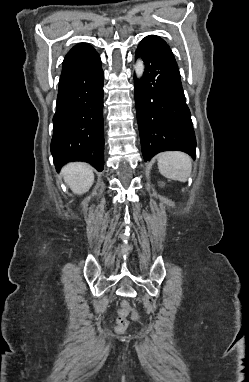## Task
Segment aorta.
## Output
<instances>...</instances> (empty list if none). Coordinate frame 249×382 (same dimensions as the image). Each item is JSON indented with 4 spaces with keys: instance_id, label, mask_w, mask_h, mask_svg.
Returning a JSON list of instances; mask_svg holds the SVG:
<instances>
[{
    "instance_id": "1",
    "label": "aorta",
    "mask_w": 249,
    "mask_h": 382,
    "mask_svg": "<svg viewBox=\"0 0 249 382\" xmlns=\"http://www.w3.org/2000/svg\"><path fill=\"white\" fill-rule=\"evenodd\" d=\"M134 69L137 79L140 80L143 77L145 71L144 61L141 57L136 60Z\"/></svg>"
}]
</instances>
